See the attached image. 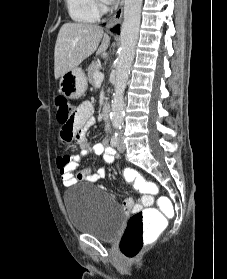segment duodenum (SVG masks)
<instances>
[{"label": "duodenum", "mask_w": 227, "mask_h": 279, "mask_svg": "<svg viewBox=\"0 0 227 279\" xmlns=\"http://www.w3.org/2000/svg\"><path fill=\"white\" fill-rule=\"evenodd\" d=\"M111 113V107L110 106H104L102 110V115L104 118H109Z\"/></svg>", "instance_id": "duodenum-1"}]
</instances>
